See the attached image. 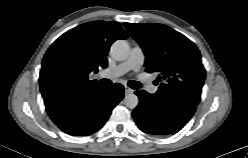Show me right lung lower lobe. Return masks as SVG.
Returning a JSON list of instances; mask_svg holds the SVG:
<instances>
[{
	"label": "right lung lower lobe",
	"instance_id": "98d812e1",
	"mask_svg": "<svg viewBox=\"0 0 248 158\" xmlns=\"http://www.w3.org/2000/svg\"><path fill=\"white\" fill-rule=\"evenodd\" d=\"M124 87H94L87 92L46 106L52 121L65 133L90 135L108 120L113 108L123 99Z\"/></svg>",
	"mask_w": 248,
	"mask_h": 158
}]
</instances>
